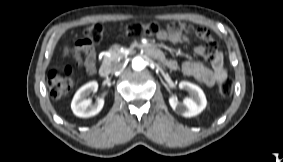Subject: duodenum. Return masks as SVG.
<instances>
[{
  "label": "duodenum",
  "instance_id": "1",
  "mask_svg": "<svg viewBox=\"0 0 283 162\" xmlns=\"http://www.w3.org/2000/svg\"><path fill=\"white\" fill-rule=\"evenodd\" d=\"M145 52L152 58H155V59H158V60H163L164 56H163V53L157 48L155 47L154 45H151V44H147L145 47ZM109 67L108 66H103L101 69H100V76L103 77V78H106L108 77L109 75Z\"/></svg>",
  "mask_w": 283,
  "mask_h": 162
}]
</instances>
